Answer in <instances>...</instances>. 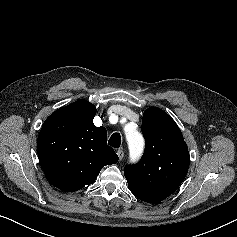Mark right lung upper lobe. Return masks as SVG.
<instances>
[{"instance_id": "cb5924a9", "label": "right lung upper lobe", "mask_w": 237, "mask_h": 237, "mask_svg": "<svg viewBox=\"0 0 237 237\" xmlns=\"http://www.w3.org/2000/svg\"><path fill=\"white\" fill-rule=\"evenodd\" d=\"M95 114L93 104L78 100L52 113L40 130V164L50 183L60 190L74 192L90 185L105 165L118 161L106 145L105 127L93 124Z\"/></svg>"}]
</instances>
